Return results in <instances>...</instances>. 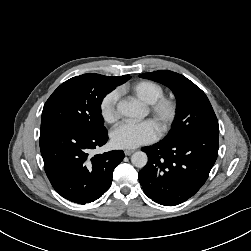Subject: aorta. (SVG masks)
Here are the masks:
<instances>
[{
	"label": "aorta",
	"instance_id": "762f6f07",
	"mask_svg": "<svg viewBox=\"0 0 251 251\" xmlns=\"http://www.w3.org/2000/svg\"><path fill=\"white\" fill-rule=\"evenodd\" d=\"M117 111L119 114L131 118L139 117L141 114L139 106L131 102H120ZM131 162L135 167L143 168L148 162L147 154L143 151H137L132 154Z\"/></svg>",
	"mask_w": 251,
	"mask_h": 251
}]
</instances>
